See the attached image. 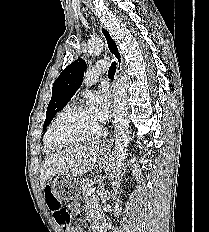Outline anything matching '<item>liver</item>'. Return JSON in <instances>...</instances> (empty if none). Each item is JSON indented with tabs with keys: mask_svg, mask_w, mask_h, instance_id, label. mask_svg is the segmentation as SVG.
Wrapping results in <instances>:
<instances>
[{
	"mask_svg": "<svg viewBox=\"0 0 209 232\" xmlns=\"http://www.w3.org/2000/svg\"><path fill=\"white\" fill-rule=\"evenodd\" d=\"M99 142L76 144L48 156L40 171V186L43 189L48 179L55 175H82L96 167Z\"/></svg>",
	"mask_w": 209,
	"mask_h": 232,
	"instance_id": "1",
	"label": "liver"
}]
</instances>
